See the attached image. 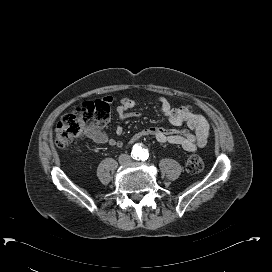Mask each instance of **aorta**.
I'll use <instances>...</instances> for the list:
<instances>
[{
	"instance_id": "aorta-1",
	"label": "aorta",
	"mask_w": 272,
	"mask_h": 272,
	"mask_svg": "<svg viewBox=\"0 0 272 272\" xmlns=\"http://www.w3.org/2000/svg\"><path fill=\"white\" fill-rule=\"evenodd\" d=\"M145 151L143 150L141 147L139 148V150L137 148L134 149V152L137 153L136 157H138L139 159L142 157L141 153Z\"/></svg>"
}]
</instances>
